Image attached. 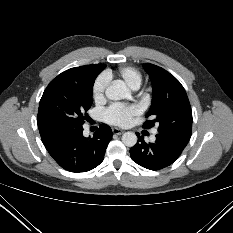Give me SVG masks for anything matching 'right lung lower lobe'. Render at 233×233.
Returning a JSON list of instances; mask_svg holds the SVG:
<instances>
[{"mask_svg": "<svg viewBox=\"0 0 233 233\" xmlns=\"http://www.w3.org/2000/svg\"><path fill=\"white\" fill-rule=\"evenodd\" d=\"M82 126L41 135L42 142L52 158L65 170L86 172L97 167L104 159L112 130L101 124L93 138H85Z\"/></svg>", "mask_w": 233, "mask_h": 233, "instance_id": "right-lung-lower-lobe-1", "label": "right lung lower lobe"}]
</instances>
